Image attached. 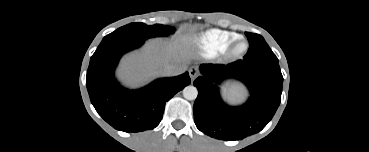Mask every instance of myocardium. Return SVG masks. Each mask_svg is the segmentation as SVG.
Listing matches in <instances>:
<instances>
[{
  "instance_id": "obj_1",
  "label": "myocardium",
  "mask_w": 369,
  "mask_h": 152,
  "mask_svg": "<svg viewBox=\"0 0 369 152\" xmlns=\"http://www.w3.org/2000/svg\"><path fill=\"white\" fill-rule=\"evenodd\" d=\"M248 48V41L244 38L238 37L228 46L227 55L230 58H239L248 51Z\"/></svg>"
}]
</instances>
